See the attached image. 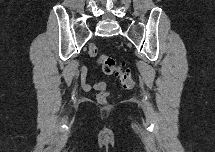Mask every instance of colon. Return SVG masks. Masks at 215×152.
<instances>
[{
	"instance_id": "1",
	"label": "colon",
	"mask_w": 215,
	"mask_h": 152,
	"mask_svg": "<svg viewBox=\"0 0 215 152\" xmlns=\"http://www.w3.org/2000/svg\"><path fill=\"white\" fill-rule=\"evenodd\" d=\"M88 53L91 57H97V62L101 66L103 72L108 75H114L119 79L122 87L126 90H132L135 86V80L130 71L116 62L108 55H99L96 45L91 44L88 48ZM108 98L107 92H101L97 95V100L100 103H105Z\"/></svg>"
}]
</instances>
